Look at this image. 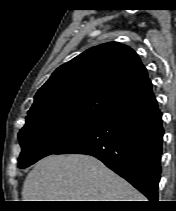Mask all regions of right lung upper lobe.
Instances as JSON below:
<instances>
[{"mask_svg":"<svg viewBox=\"0 0 176 211\" xmlns=\"http://www.w3.org/2000/svg\"><path fill=\"white\" fill-rule=\"evenodd\" d=\"M153 98L147 70L136 52L110 42L90 48L57 68L36 93L27 114L62 109L106 117Z\"/></svg>","mask_w":176,"mask_h":211,"instance_id":"right-lung-upper-lobe-1","label":"right lung upper lobe"}]
</instances>
